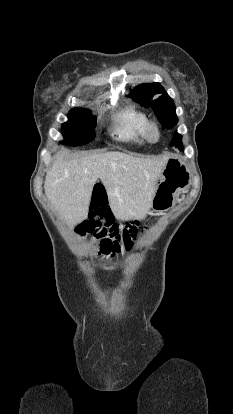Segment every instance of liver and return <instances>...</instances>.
<instances>
[{"instance_id": "6515ba94", "label": "liver", "mask_w": 233, "mask_h": 414, "mask_svg": "<svg viewBox=\"0 0 233 414\" xmlns=\"http://www.w3.org/2000/svg\"><path fill=\"white\" fill-rule=\"evenodd\" d=\"M67 154L65 149L57 153L44 189L55 210L72 225L87 217L98 179L116 218L143 219L152 208L157 181L169 158H141L112 151L64 161Z\"/></svg>"}]
</instances>
